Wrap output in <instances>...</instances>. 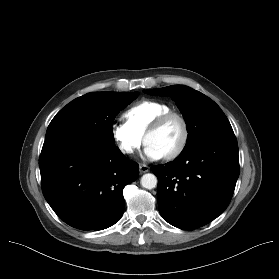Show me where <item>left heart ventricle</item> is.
Instances as JSON below:
<instances>
[{
  "label": "left heart ventricle",
  "instance_id": "left-heart-ventricle-1",
  "mask_svg": "<svg viewBox=\"0 0 279 279\" xmlns=\"http://www.w3.org/2000/svg\"><path fill=\"white\" fill-rule=\"evenodd\" d=\"M182 137V127L180 122L169 119L158 131L146 136V144L153 145L163 156L172 152L179 144Z\"/></svg>",
  "mask_w": 279,
  "mask_h": 279
}]
</instances>
